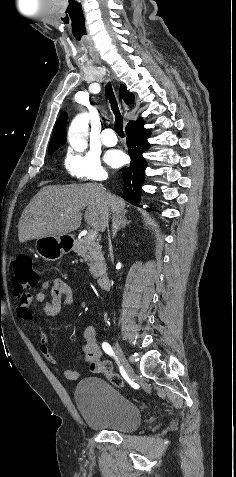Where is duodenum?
Here are the masks:
<instances>
[{"mask_svg": "<svg viewBox=\"0 0 236 477\" xmlns=\"http://www.w3.org/2000/svg\"><path fill=\"white\" fill-rule=\"evenodd\" d=\"M65 246L67 248H71L74 244V240L73 239H67L65 240ZM98 285H99V288L102 289V290H107L110 288V279L108 276L106 275H103L101 277L98 278Z\"/></svg>", "mask_w": 236, "mask_h": 477, "instance_id": "1", "label": "duodenum"}]
</instances>
